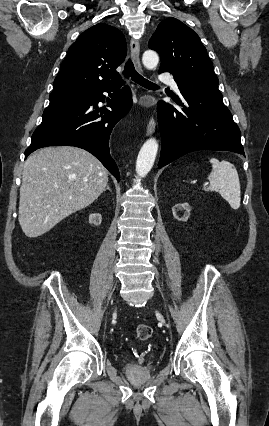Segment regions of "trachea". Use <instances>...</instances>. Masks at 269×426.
Listing matches in <instances>:
<instances>
[{"label": "trachea", "instance_id": "obj_1", "mask_svg": "<svg viewBox=\"0 0 269 426\" xmlns=\"http://www.w3.org/2000/svg\"><path fill=\"white\" fill-rule=\"evenodd\" d=\"M123 75L127 78L131 77L133 81L138 83L139 85L145 88H156L158 87L156 84L148 81L144 77H142L134 68V65L131 60H128L125 64V68L123 71Z\"/></svg>", "mask_w": 269, "mask_h": 426}]
</instances>
